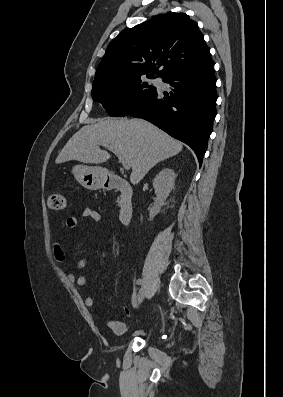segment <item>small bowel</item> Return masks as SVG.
<instances>
[{
	"label": "small bowel",
	"mask_w": 283,
	"mask_h": 397,
	"mask_svg": "<svg viewBox=\"0 0 283 397\" xmlns=\"http://www.w3.org/2000/svg\"><path fill=\"white\" fill-rule=\"evenodd\" d=\"M101 214L92 208L89 207H84L78 210H74L71 215L65 217L61 223H60V228L63 230H71L75 228L78 224L79 219H89L93 222H100L101 221ZM52 256L53 259L61 263L65 259V252L64 249L59 241H56L53 243L52 246ZM87 266V261L85 259H80L76 263V268L77 269H84ZM68 281L74 285V286H84L87 284V278L83 275H76L74 273H69L67 275ZM129 289L133 292V296L131 298V305L132 307L136 306L137 299L135 295V288L133 286H129ZM85 305L89 308H93L95 306V299L92 296H88L85 298ZM125 312L129 315L130 310L128 307H125ZM94 315L101 318L102 315L98 310L93 311ZM107 325L109 328L113 331L114 334L120 336L123 335L126 331V326L123 322L117 320V319H108L107 320Z\"/></svg>",
	"instance_id": "c3829d8e"
}]
</instances>
